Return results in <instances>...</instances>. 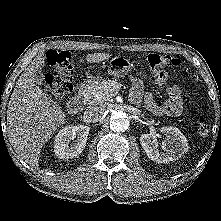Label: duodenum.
<instances>
[{
  "label": "duodenum",
  "mask_w": 221,
  "mask_h": 221,
  "mask_svg": "<svg viewBox=\"0 0 221 221\" xmlns=\"http://www.w3.org/2000/svg\"><path fill=\"white\" fill-rule=\"evenodd\" d=\"M89 99V85L87 83H83L78 87L75 96L68 102V111L70 113H77L81 109V106Z\"/></svg>",
  "instance_id": "duodenum-1"
}]
</instances>
